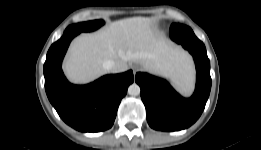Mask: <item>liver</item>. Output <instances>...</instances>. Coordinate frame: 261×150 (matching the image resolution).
Instances as JSON below:
<instances>
[{"instance_id": "obj_1", "label": "liver", "mask_w": 261, "mask_h": 150, "mask_svg": "<svg viewBox=\"0 0 261 150\" xmlns=\"http://www.w3.org/2000/svg\"><path fill=\"white\" fill-rule=\"evenodd\" d=\"M107 61L139 63L170 77H179L189 67L187 54L157 35L153 21L144 17L114 21L102 30L77 37L64 71L72 82L87 83L109 71Z\"/></svg>"}]
</instances>
